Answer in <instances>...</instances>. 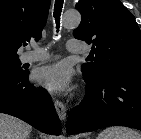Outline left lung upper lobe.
I'll list each match as a JSON object with an SVG mask.
<instances>
[{
	"instance_id": "left-lung-upper-lobe-1",
	"label": "left lung upper lobe",
	"mask_w": 141,
	"mask_h": 139,
	"mask_svg": "<svg viewBox=\"0 0 141 139\" xmlns=\"http://www.w3.org/2000/svg\"><path fill=\"white\" fill-rule=\"evenodd\" d=\"M82 15L76 39L93 44L94 63L81 70L93 78L109 71L141 74V32L134 16L119 0H79Z\"/></svg>"
}]
</instances>
